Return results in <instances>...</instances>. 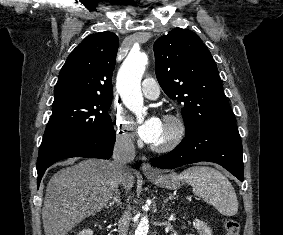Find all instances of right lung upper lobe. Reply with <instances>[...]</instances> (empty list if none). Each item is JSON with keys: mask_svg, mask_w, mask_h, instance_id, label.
Listing matches in <instances>:
<instances>
[{"mask_svg": "<svg viewBox=\"0 0 283 235\" xmlns=\"http://www.w3.org/2000/svg\"><path fill=\"white\" fill-rule=\"evenodd\" d=\"M119 40L106 31L87 36L68 56L54 88V102L72 97H112Z\"/></svg>", "mask_w": 283, "mask_h": 235, "instance_id": "obj_1", "label": "right lung upper lobe"}]
</instances>
